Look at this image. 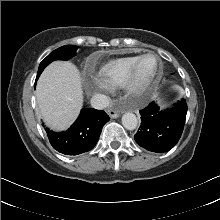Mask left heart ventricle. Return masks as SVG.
I'll list each match as a JSON object with an SVG mask.
<instances>
[{
	"instance_id": "1",
	"label": "left heart ventricle",
	"mask_w": 220,
	"mask_h": 220,
	"mask_svg": "<svg viewBox=\"0 0 220 220\" xmlns=\"http://www.w3.org/2000/svg\"><path fill=\"white\" fill-rule=\"evenodd\" d=\"M156 60L153 57L145 58L139 68V73L142 78L150 77L156 70Z\"/></svg>"
}]
</instances>
